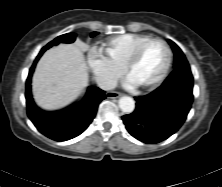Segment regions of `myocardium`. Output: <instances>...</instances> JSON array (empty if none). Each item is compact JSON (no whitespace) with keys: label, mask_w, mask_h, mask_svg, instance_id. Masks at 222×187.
Listing matches in <instances>:
<instances>
[{"label":"myocardium","mask_w":222,"mask_h":187,"mask_svg":"<svg viewBox=\"0 0 222 187\" xmlns=\"http://www.w3.org/2000/svg\"><path fill=\"white\" fill-rule=\"evenodd\" d=\"M151 42H159L163 44V46L165 47L167 51V61H166V64L162 73L156 79L147 83L137 84L138 86L145 89H151L158 86L166 78L170 70L172 60H173V53H172V49L170 45L164 39L159 38V37L147 38L144 41H142L139 45L136 46V48L132 51V53L130 54V56L128 57V59L126 60L123 66L124 73L130 77V72H131L132 67L136 64V62L140 58L141 53L143 49L145 48V46Z\"/></svg>","instance_id":"obj_1"}]
</instances>
